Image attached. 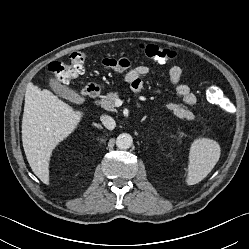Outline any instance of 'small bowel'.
I'll return each instance as SVG.
<instances>
[{
  "label": "small bowel",
  "instance_id": "c3829d8e",
  "mask_svg": "<svg viewBox=\"0 0 249 249\" xmlns=\"http://www.w3.org/2000/svg\"><path fill=\"white\" fill-rule=\"evenodd\" d=\"M107 59L102 61L103 65ZM125 63L122 68L116 69L119 72H126V81L130 84L131 89L138 93L144 88V83L142 77L149 72V68L144 65H139L135 67L130 66V62L127 59H119ZM182 69L179 66H173L169 70V79L171 84L174 86L177 94L182 98L183 102L188 105H193L197 102V96L192 91V89L181 83Z\"/></svg>",
  "mask_w": 249,
  "mask_h": 249
}]
</instances>
